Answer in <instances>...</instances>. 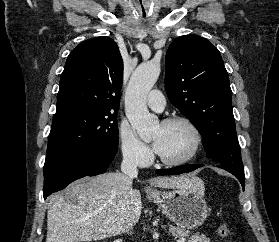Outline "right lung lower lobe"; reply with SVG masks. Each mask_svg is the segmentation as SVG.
Returning a JSON list of instances; mask_svg holds the SVG:
<instances>
[{
    "mask_svg": "<svg viewBox=\"0 0 279 242\" xmlns=\"http://www.w3.org/2000/svg\"><path fill=\"white\" fill-rule=\"evenodd\" d=\"M115 148L87 149L64 155L44 164L43 197L64 189L84 176L104 173L117 153Z\"/></svg>",
    "mask_w": 279,
    "mask_h": 242,
    "instance_id": "right-lung-lower-lobe-1",
    "label": "right lung lower lobe"
}]
</instances>
